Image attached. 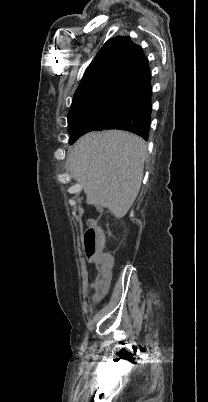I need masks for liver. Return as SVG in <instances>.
I'll list each match as a JSON object with an SVG mask.
<instances>
[{"label": "liver", "instance_id": "liver-1", "mask_svg": "<svg viewBox=\"0 0 208 402\" xmlns=\"http://www.w3.org/2000/svg\"><path fill=\"white\" fill-rule=\"evenodd\" d=\"M146 144L139 136L108 130L80 138L67 156V166L83 186L87 204L108 208L119 220L135 202L142 184Z\"/></svg>", "mask_w": 208, "mask_h": 402}]
</instances>
